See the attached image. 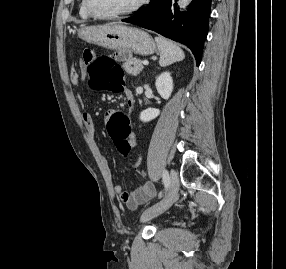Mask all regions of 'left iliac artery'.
Returning <instances> with one entry per match:
<instances>
[{"instance_id":"1","label":"left iliac artery","mask_w":286,"mask_h":269,"mask_svg":"<svg viewBox=\"0 0 286 269\" xmlns=\"http://www.w3.org/2000/svg\"><path fill=\"white\" fill-rule=\"evenodd\" d=\"M162 177H163V183H164L165 189L167 190L170 184V178H169V174L167 170L163 171Z\"/></svg>"}]
</instances>
